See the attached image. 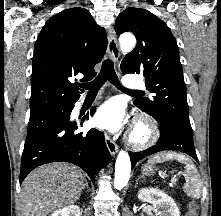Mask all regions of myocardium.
Returning a JSON list of instances; mask_svg holds the SVG:
<instances>
[{
    "instance_id": "1",
    "label": "myocardium",
    "mask_w": 221,
    "mask_h": 216,
    "mask_svg": "<svg viewBox=\"0 0 221 216\" xmlns=\"http://www.w3.org/2000/svg\"><path fill=\"white\" fill-rule=\"evenodd\" d=\"M159 133V126L152 117L139 115L129 135L128 144L135 149L146 148L157 141Z\"/></svg>"
}]
</instances>
